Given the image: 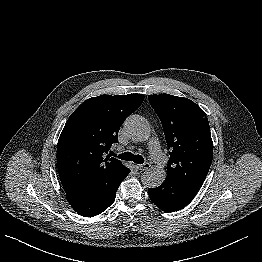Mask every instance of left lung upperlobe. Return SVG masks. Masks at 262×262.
Returning a JSON list of instances; mask_svg holds the SVG:
<instances>
[{"mask_svg": "<svg viewBox=\"0 0 262 262\" xmlns=\"http://www.w3.org/2000/svg\"><path fill=\"white\" fill-rule=\"evenodd\" d=\"M148 99L162 122L171 150L166 178L199 190L213 158V142L205 112L183 97L154 94Z\"/></svg>", "mask_w": 262, "mask_h": 262, "instance_id": "5c2ea615", "label": "left lung upper lobe"}]
</instances>
